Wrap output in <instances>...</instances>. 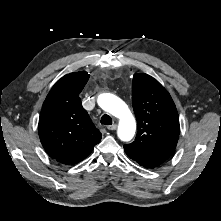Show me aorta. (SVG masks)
Instances as JSON below:
<instances>
[{
    "mask_svg": "<svg viewBox=\"0 0 221 221\" xmlns=\"http://www.w3.org/2000/svg\"><path fill=\"white\" fill-rule=\"evenodd\" d=\"M97 102L104 111L119 119L117 135L120 140H131L136 131V121L125 102L110 93L100 94Z\"/></svg>",
    "mask_w": 221,
    "mask_h": 221,
    "instance_id": "1",
    "label": "aorta"
}]
</instances>
